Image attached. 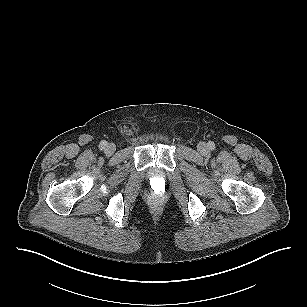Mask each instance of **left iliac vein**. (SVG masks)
<instances>
[{
  "label": "left iliac vein",
  "mask_w": 307,
  "mask_h": 307,
  "mask_svg": "<svg viewBox=\"0 0 307 307\" xmlns=\"http://www.w3.org/2000/svg\"><path fill=\"white\" fill-rule=\"evenodd\" d=\"M197 149H198V151H199L201 154H203V155H205V154H207V153L209 152L208 146H207V144L204 143V142H200V143L198 144V146H197Z\"/></svg>",
  "instance_id": "4c4485c4"
}]
</instances>
